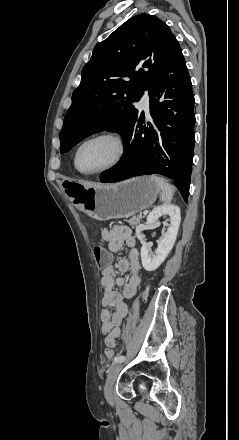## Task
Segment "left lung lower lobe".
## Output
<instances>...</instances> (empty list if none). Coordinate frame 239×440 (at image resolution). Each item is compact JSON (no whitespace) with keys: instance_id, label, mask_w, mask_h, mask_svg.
I'll return each mask as SVG.
<instances>
[{"instance_id":"0a47b994","label":"left lung lower lobe","mask_w":239,"mask_h":440,"mask_svg":"<svg viewBox=\"0 0 239 440\" xmlns=\"http://www.w3.org/2000/svg\"><path fill=\"white\" fill-rule=\"evenodd\" d=\"M153 122L141 112L122 135L126 145L121 163L100 177L117 182L139 175L161 174L177 183L188 200L194 152V96L188 69L177 43L148 89ZM138 128H140L138 130Z\"/></svg>"}]
</instances>
